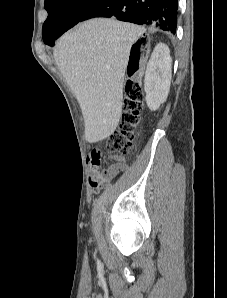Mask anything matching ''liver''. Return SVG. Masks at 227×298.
<instances>
[{
  "mask_svg": "<svg viewBox=\"0 0 227 298\" xmlns=\"http://www.w3.org/2000/svg\"><path fill=\"white\" fill-rule=\"evenodd\" d=\"M144 32L138 25L95 18L56 44L55 63L81 107L89 143L106 139L118 126L130 50Z\"/></svg>",
  "mask_w": 227,
  "mask_h": 298,
  "instance_id": "liver-1",
  "label": "liver"
}]
</instances>
